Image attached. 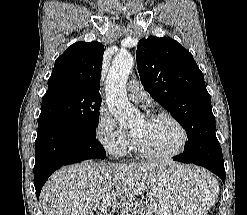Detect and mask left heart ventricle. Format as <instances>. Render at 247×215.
I'll list each match as a JSON object with an SVG mask.
<instances>
[{
  "label": "left heart ventricle",
  "instance_id": "1",
  "mask_svg": "<svg viewBox=\"0 0 247 215\" xmlns=\"http://www.w3.org/2000/svg\"><path fill=\"white\" fill-rule=\"evenodd\" d=\"M132 133L138 135L145 146L151 152L157 154H167L175 151L181 141L178 128L166 118L151 121L141 119L134 126Z\"/></svg>",
  "mask_w": 247,
  "mask_h": 215
}]
</instances>
